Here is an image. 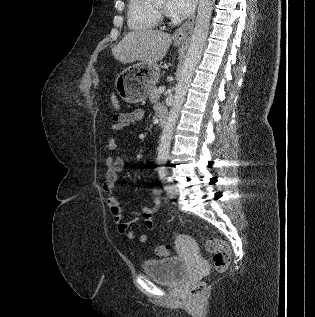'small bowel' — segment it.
Masks as SVG:
<instances>
[{"mask_svg": "<svg viewBox=\"0 0 315 317\" xmlns=\"http://www.w3.org/2000/svg\"><path fill=\"white\" fill-rule=\"evenodd\" d=\"M144 118V111L136 109L128 113H117L113 116L112 131L120 132L125 127L133 123L141 122ZM109 150H115L117 147V139L115 137L109 138L107 142ZM124 167V160L122 157L109 156L105 160V180L103 182V191L107 196V203L113 216L114 223L120 235L126 236L132 240L135 238V232L131 226L136 223L140 217L144 219L145 231L139 236V241L145 244L148 240L149 232L154 228L153 217L156 212L162 207L161 188L155 186L152 189V205L144 206L140 212L132 214L130 220H126L125 210L121 201L114 196L113 189L118 178V172Z\"/></svg>", "mask_w": 315, "mask_h": 317, "instance_id": "1", "label": "small bowel"}]
</instances>
